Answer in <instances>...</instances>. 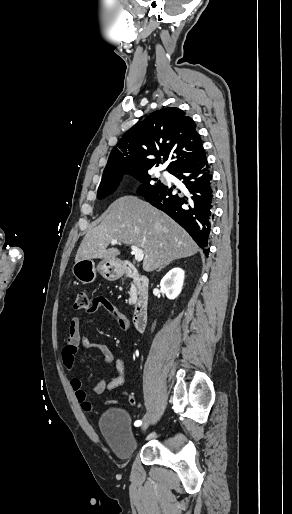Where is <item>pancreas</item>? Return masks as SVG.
<instances>
[{"label":"pancreas","mask_w":292,"mask_h":514,"mask_svg":"<svg viewBox=\"0 0 292 514\" xmlns=\"http://www.w3.org/2000/svg\"><path fill=\"white\" fill-rule=\"evenodd\" d=\"M136 300H137L136 292H135V294H130L129 304H135Z\"/></svg>","instance_id":"1"}]
</instances>
